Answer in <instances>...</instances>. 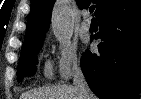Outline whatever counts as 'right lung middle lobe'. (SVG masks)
<instances>
[{"mask_svg":"<svg viewBox=\"0 0 141 99\" xmlns=\"http://www.w3.org/2000/svg\"><path fill=\"white\" fill-rule=\"evenodd\" d=\"M43 40L44 38L22 46L18 67V80L25 76H32L35 73L36 56L41 48Z\"/></svg>","mask_w":141,"mask_h":99,"instance_id":"right-lung-middle-lobe-1","label":"right lung middle lobe"}]
</instances>
